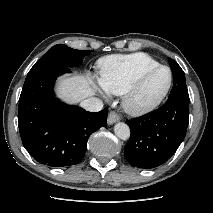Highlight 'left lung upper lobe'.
Returning a JSON list of instances; mask_svg holds the SVG:
<instances>
[{
    "label": "left lung upper lobe",
    "mask_w": 213,
    "mask_h": 213,
    "mask_svg": "<svg viewBox=\"0 0 213 213\" xmlns=\"http://www.w3.org/2000/svg\"><path fill=\"white\" fill-rule=\"evenodd\" d=\"M169 62L174 76L173 87L170 92L169 98H180L189 101V95L183 70L174 60L170 59Z\"/></svg>",
    "instance_id": "5c2ea615"
}]
</instances>
